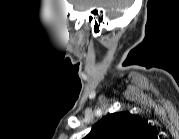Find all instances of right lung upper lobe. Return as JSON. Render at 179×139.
<instances>
[{
    "instance_id": "obj_1",
    "label": "right lung upper lobe",
    "mask_w": 179,
    "mask_h": 139,
    "mask_svg": "<svg viewBox=\"0 0 179 139\" xmlns=\"http://www.w3.org/2000/svg\"><path fill=\"white\" fill-rule=\"evenodd\" d=\"M152 128L144 119L129 112L103 117L86 136L87 139H148Z\"/></svg>"
}]
</instances>
